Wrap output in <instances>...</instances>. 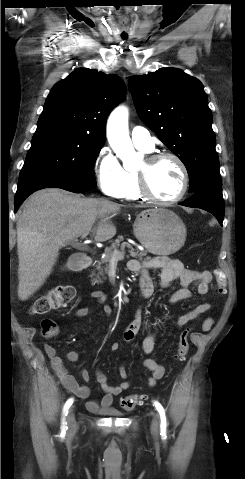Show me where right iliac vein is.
I'll use <instances>...</instances> for the list:
<instances>
[{"label":"right iliac vein","mask_w":245,"mask_h":479,"mask_svg":"<svg viewBox=\"0 0 245 479\" xmlns=\"http://www.w3.org/2000/svg\"><path fill=\"white\" fill-rule=\"evenodd\" d=\"M67 426H68V432L73 433L77 429V422L75 419V414H74V409L71 408L69 410V414L67 416Z\"/></svg>","instance_id":"63e3f726"}]
</instances>
